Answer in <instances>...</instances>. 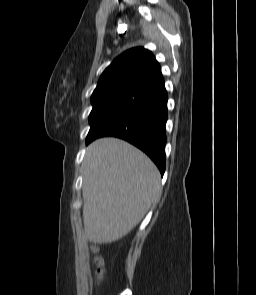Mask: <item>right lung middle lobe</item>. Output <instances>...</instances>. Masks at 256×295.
Returning <instances> with one entry per match:
<instances>
[{
    "label": "right lung middle lobe",
    "instance_id": "dd1d6c3e",
    "mask_svg": "<svg viewBox=\"0 0 256 295\" xmlns=\"http://www.w3.org/2000/svg\"><path fill=\"white\" fill-rule=\"evenodd\" d=\"M135 97L114 98L93 105L89 115L90 131L87 137L96 134L110 119L121 112Z\"/></svg>",
    "mask_w": 256,
    "mask_h": 295
}]
</instances>
